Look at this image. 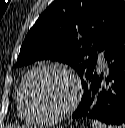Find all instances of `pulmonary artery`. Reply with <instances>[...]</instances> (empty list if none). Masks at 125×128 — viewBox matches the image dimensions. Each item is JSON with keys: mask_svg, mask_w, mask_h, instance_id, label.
I'll list each match as a JSON object with an SVG mask.
<instances>
[{"mask_svg": "<svg viewBox=\"0 0 125 128\" xmlns=\"http://www.w3.org/2000/svg\"><path fill=\"white\" fill-rule=\"evenodd\" d=\"M99 62L102 65H104V63H105L102 54H99Z\"/></svg>", "mask_w": 125, "mask_h": 128, "instance_id": "obj_1", "label": "pulmonary artery"}]
</instances>
